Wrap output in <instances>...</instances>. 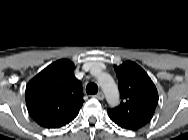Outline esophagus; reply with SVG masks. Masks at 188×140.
<instances>
[{
    "label": "esophagus",
    "mask_w": 188,
    "mask_h": 140,
    "mask_svg": "<svg viewBox=\"0 0 188 140\" xmlns=\"http://www.w3.org/2000/svg\"><path fill=\"white\" fill-rule=\"evenodd\" d=\"M94 97L98 100H103L104 99V94L102 92L97 93L94 95Z\"/></svg>",
    "instance_id": "esophagus-1"
}]
</instances>
